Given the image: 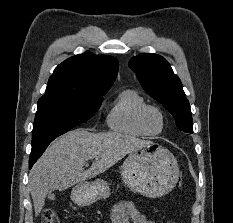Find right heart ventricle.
Segmentation results:
<instances>
[{
    "label": "right heart ventricle",
    "instance_id": "e07e8e85",
    "mask_svg": "<svg viewBox=\"0 0 233 223\" xmlns=\"http://www.w3.org/2000/svg\"><path fill=\"white\" fill-rule=\"evenodd\" d=\"M146 99L135 88L121 89L105 115L107 128L115 133L143 138L146 134L138 125V113Z\"/></svg>",
    "mask_w": 233,
    "mask_h": 223
}]
</instances>
